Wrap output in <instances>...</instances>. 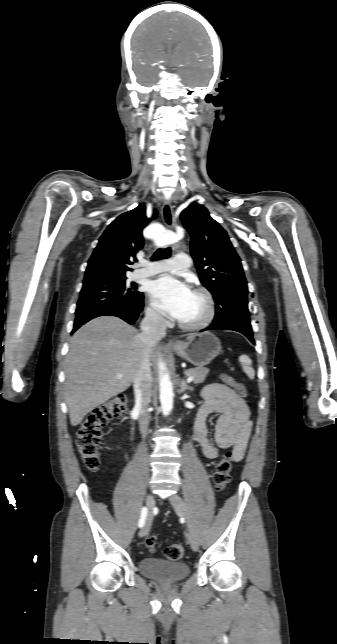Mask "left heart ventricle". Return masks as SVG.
I'll use <instances>...</instances> for the list:
<instances>
[{"label":"left heart ventricle","instance_id":"b2bd125f","mask_svg":"<svg viewBox=\"0 0 337 644\" xmlns=\"http://www.w3.org/2000/svg\"><path fill=\"white\" fill-rule=\"evenodd\" d=\"M205 314V303L201 296L192 293L189 303L179 319L182 322L193 323L200 320Z\"/></svg>","mask_w":337,"mask_h":644}]
</instances>
